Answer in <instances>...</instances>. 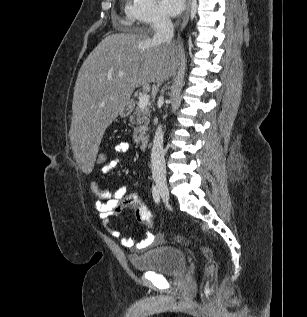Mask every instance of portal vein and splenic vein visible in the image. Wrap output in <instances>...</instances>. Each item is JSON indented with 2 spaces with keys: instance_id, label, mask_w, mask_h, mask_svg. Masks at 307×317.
Here are the masks:
<instances>
[{
  "instance_id": "obj_1",
  "label": "portal vein and splenic vein",
  "mask_w": 307,
  "mask_h": 317,
  "mask_svg": "<svg viewBox=\"0 0 307 317\" xmlns=\"http://www.w3.org/2000/svg\"><path fill=\"white\" fill-rule=\"evenodd\" d=\"M119 75L122 76L123 73H119ZM149 99H150V96L147 93L142 94L139 97V102H138L139 108L144 109L148 105Z\"/></svg>"
}]
</instances>
